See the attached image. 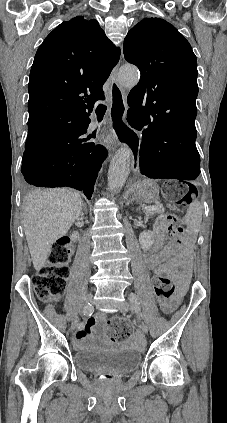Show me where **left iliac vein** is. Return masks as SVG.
I'll use <instances>...</instances> for the list:
<instances>
[{
	"label": "left iliac vein",
	"instance_id": "1",
	"mask_svg": "<svg viewBox=\"0 0 227 423\" xmlns=\"http://www.w3.org/2000/svg\"><path fill=\"white\" fill-rule=\"evenodd\" d=\"M134 307H136V305H134ZM120 309L122 312H127L129 310V304L127 302H124ZM140 328L144 334L148 332V327L144 322H141Z\"/></svg>",
	"mask_w": 227,
	"mask_h": 423
}]
</instances>
